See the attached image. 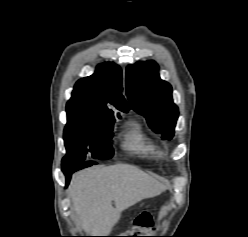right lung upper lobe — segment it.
Segmentation results:
<instances>
[{
	"label": "right lung upper lobe",
	"instance_id": "right-lung-upper-lobe-1",
	"mask_svg": "<svg viewBox=\"0 0 248 237\" xmlns=\"http://www.w3.org/2000/svg\"><path fill=\"white\" fill-rule=\"evenodd\" d=\"M122 72L114 63L99 65L95 73L75 84L67 107L76 108L96 116H114L108 107L127 112L128 103L121 94Z\"/></svg>",
	"mask_w": 248,
	"mask_h": 237
}]
</instances>
